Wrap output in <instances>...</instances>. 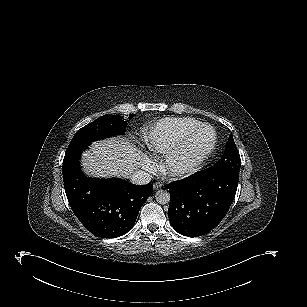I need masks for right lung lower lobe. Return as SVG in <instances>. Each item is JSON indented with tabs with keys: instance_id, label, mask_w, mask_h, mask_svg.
Instances as JSON below:
<instances>
[{
	"instance_id": "1",
	"label": "right lung lower lobe",
	"mask_w": 307,
	"mask_h": 307,
	"mask_svg": "<svg viewBox=\"0 0 307 307\" xmlns=\"http://www.w3.org/2000/svg\"><path fill=\"white\" fill-rule=\"evenodd\" d=\"M81 153H66L63 160L64 187L72 211L86 229L98 237L115 238L126 234L152 194V184L140 186L118 178H89L78 166Z\"/></svg>"
}]
</instances>
